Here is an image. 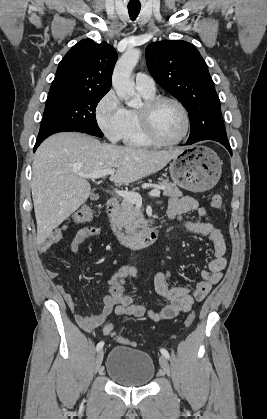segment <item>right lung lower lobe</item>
Returning a JSON list of instances; mask_svg holds the SVG:
<instances>
[{"mask_svg": "<svg viewBox=\"0 0 267 419\" xmlns=\"http://www.w3.org/2000/svg\"><path fill=\"white\" fill-rule=\"evenodd\" d=\"M64 131H74L72 128H69L65 125L43 120L40 131L37 137L36 144L34 146V152L37 149V147L50 135L58 133V132H64Z\"/></svg>", "mask_w": 267, "mask_h": 419, "instance_id": "right-lung-lower-lobe-1", "label": "right lung lower lobe"}]
</instances>
